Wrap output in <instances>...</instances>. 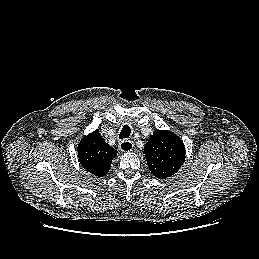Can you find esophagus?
Here are the masks:
<instances>
[{
    "mask_svg": "<svg viewBox=\"0 0 259 259\" xmlns=\"http://www.w3.org/2000/svg\"><path fill=\"white\" fill-rule=\"evenodd\" d=\"M119 149L125 153L131 152L134 149V143L132 141H122L119 144Z\"/></svg>",
    "mask_w": 259,
    "mask_h": 259,
    "instance_id": "1",
    "label": "esophagus"
}]
</instances>
